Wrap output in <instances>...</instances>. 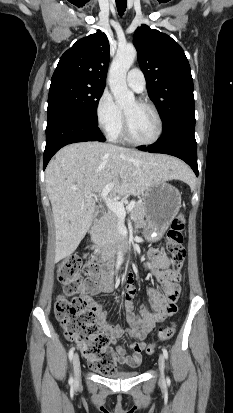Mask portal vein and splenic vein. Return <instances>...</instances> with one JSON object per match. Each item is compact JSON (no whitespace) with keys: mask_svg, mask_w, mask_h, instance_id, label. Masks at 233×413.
I'll return each mask as SVG.
<instances>
[{"mask_svg":"<svg viewBox=\"0 0 233 413\" xmlns=\"http://www.w3.org/2000/svg\"><path fill=\"white\" fill-rule=\"evenodd\" d=\"M115 183H109L107 184L104 189L102 190L101 194L99 195L108 208L114 212L119 218H125L126 213L132 211L135 205V201H132L126 208L124 205L108 196V193L111 191V189L114 187Z\"/></svg>","mask_w":233,"mask_h":413,"instance_id":"portal-vein-and-splenic-vein-1","label":"portal vein and splenic vein"}]
</instances>
